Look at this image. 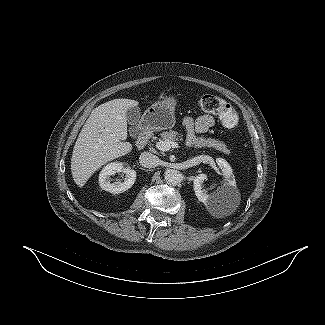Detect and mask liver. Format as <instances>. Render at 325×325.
<instances>
[{
	"label": "liver",
	"instance_id": "1",
	"mask_svg": "<svg viewBox=\"0 0 325 325\" xmlns=\"http://www.w3.org/2000/svg\"><path fill=\"white\" fill-rule=\"evenodd\" d=\"M138 102L114 99L92 110L74 145L71 172L82 187L101 166L131 152L127 139V110Z\"/></svg>",
	"mask_w": 325,
	"mask_h": 325
}]
</instances>
